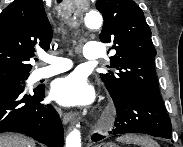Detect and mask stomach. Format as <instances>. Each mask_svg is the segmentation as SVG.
I'll return each instance as SVG.
<instances>
[{"instance_id": "0dacf381", "label": "stomach", "mask_w": 183, "mask_h": 147, "mask_svg": "<svg viewBox=\"0 0 183 147\" xmlns=\"http://www.w3.org/2000/svg\"><path fill=\"white\" fill-rule=\"evenodd\" d=\"M99 147H117L114 143H102Z\"/></svg>"}]
</instances>
